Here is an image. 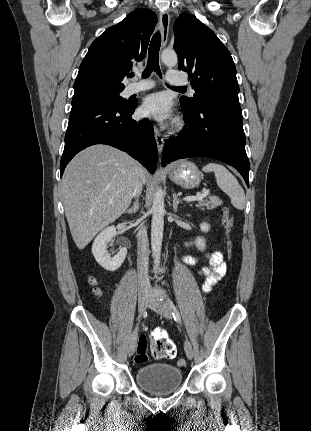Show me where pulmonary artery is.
I'll list each match as a JSON object with an SVG mask.
<instances>
[{"label":"pulmonary artery","instance_id":"obj_1","mask_svg":"<svg viewBox=\"0 0 311 431\" xmlns=\"http://www.w3.org/2000/svg\"><path fill=\"white\" fill-rule=\"evenodd\" d=\"M174 72H175L174 70L169 71V72L166 74V76H165L166 80H167L169 83L174 84V85H182V84H185V83H186L185 81H183V80H180V79H177V78L173 77V73H174ZM155 85H156V83H155L154 81L149 80V79H143V80H140V81H137V82L130 83V84L126 87V89H125V93H126L127 95H133V94L141 93V92H144V91H146V90H149V89H151V88L155 87ZM189 86H190V85H189ZM190 91H191L192 93H194V90L192 89V87H191V86H190Z\"/></svg>","mask_w":311,"mask_h":431}]
</instances>
